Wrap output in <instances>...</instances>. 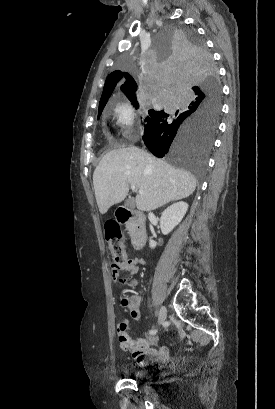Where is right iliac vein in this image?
Masks as SVG:
<instances>
[{
  "label": "right iliac vein",
  "instance_id": "obj_1",
  "mask_svg": "<svg viewBox=\"0 0 275 409\" xmlns=\"http://www.w3.org/2000/svg\"><path fill=\"white\" fill-rule=\"evenodd\" d=\"M166 314H167V310L165 306H162L160 308L159 314H158V323L161 324L165 321L166 319Z\"/></svg>",
  "mask_w": 275,
  "mask_h": 409
}]
</instances>
